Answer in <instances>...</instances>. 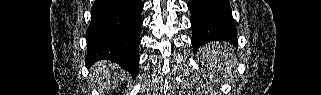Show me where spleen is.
<instances>
[{
	"mask_svg": "<svg viewBox=\"0 0 321 95\" xmlns=\"http://www.w3.org/2000/svg\"><path fill=\"white\" fill-rule=\"evenodd\" d=\"M202 64L212 76L225 79L235 66L236 56L231 46L223 42H211L201 48Z\"/></svg>",
	"mask_w": 321,
	"mask_h": 95,
	"instance_id": "1",
	"label": "spleen"
}]
</instances>
